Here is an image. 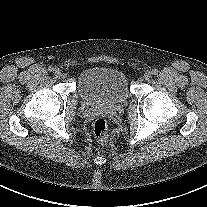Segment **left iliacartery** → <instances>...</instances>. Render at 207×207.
<instances>
[{"label": "left iliac artery", "mask_w": 207, "mask_h": 207, "mask_svg": "<svg viewBox=\"0 0 207 207\" xmlns=\"http://www.w3.org/2000/svg\"><path fill=\"white\" fill-rule=\"evenodd\" d=\"M152 74H153V75H157V74H158V70H157V69H153V70H152Z\"/></svg>", "instance_id": "44dca946"}]
</instances>
